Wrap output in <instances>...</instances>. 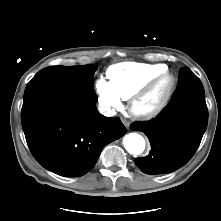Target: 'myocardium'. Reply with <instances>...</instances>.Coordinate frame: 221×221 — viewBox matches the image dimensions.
<instances>
[{"mask_svg": "<svg viewBox=\"0 0 221 221\" xmlns=\"http://www.w3.org/2000/svg\"><path fill=\"white\" fill-rule=\"evenodd\" d=\"M164 81H168V85L159 102L151 109H141L139 107L141 102L146 99ZM175 85L176 78L170 71L165 70L161 72L148 84H146L140 91L130 97L128 106L129 112L132 116L140 119H150L157 116L166 107L172 96Z\"/></svg>", "mask_w": 221, "mask_h": 221, "instance_id": "obj_1", "label": "myocardium"}]
</instances>
